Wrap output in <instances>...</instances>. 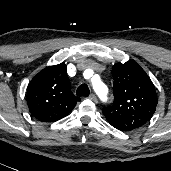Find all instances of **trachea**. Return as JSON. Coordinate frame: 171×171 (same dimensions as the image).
Listing matches in <instances>:
<instances>
[{
    "mask_svg": "<svg viewBox=\"0 0 171 171\" xmlns=\"http://www.w3.org/2000/svg\"><path fill=\"white\" fill-rule=\"evenodd\" d=\"M77 96H89L90 90L88 85L82 84L77 88L76 91Z\"/></svg>",
    "mask_w": 171,
    "mask_h": 171,
    "instance_id": "3493384b",
    "label": "trachea"
}]
</instances>
